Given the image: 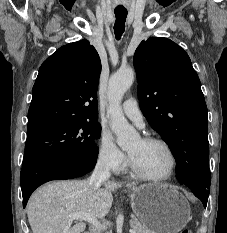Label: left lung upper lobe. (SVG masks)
I'll use <instances>...</instances> for the list:
<instances>
[{
    "label": "left lung upper lobe",
    "instance_id": "5c2ea615",
    "mask_svg": "<svg viewBox=\"0 0 227 233\" xmlns=\"http://www.w3.org/2000/svg\"><path fill=\"white\" fill-rule=\"evenodd\" d=\"M141 110L169 145L179 182L209 193L207 106L188 54L167 38L142 41L134 54Z\"/></svg>",
    "mask_w": 227,
    "mask_h": 233
}]
</instances>
